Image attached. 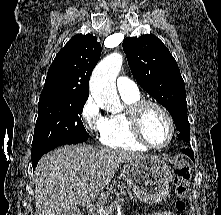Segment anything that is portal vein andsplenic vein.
Listing matches in <instances>:
<instances>
[{"label":"portal vein and splenic vein","instance_id":"1","mask_svg":"<svg viewBox=\"0 0 221 215\" xmlns=\"http://www.w3.org/2000/svg\"><path fill=\"white\" fill-rule=\"evenodd\" d=\"M118 200H120V201H124V198H118ZM111 209V207H109V208H99L98 209V213H99V215H107V212L109 211Z\"/></svg>","mask_w":221,"mask_h":215}]
</instances>
